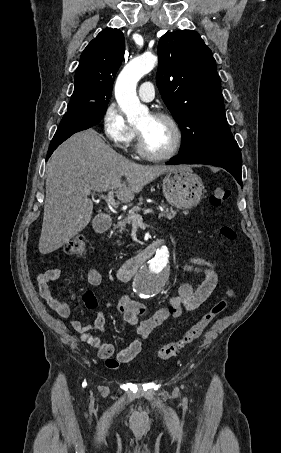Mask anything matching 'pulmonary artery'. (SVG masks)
I'll list each match as a JSON object with an SVG mask.
<instances>
[{
    "mask_svg": "<svg viewBox=\"0 0 281 453\" xmlns=\"http://www.w3.org/2000/svg\"><path fill=\"white\" fill-rule=\"evenodd\" d=\"M152 86H153V84L151 82L142 83L138 90V97L145 102L152 101L154 98V94L150 93V92H144V90H146Z\"/></svg>",
    "mask_w": 281,
    "mask_h": 453,
    "instance_id": "e3ab8cb5",
    "label": "pulmonary artery"
}]
</instances>
